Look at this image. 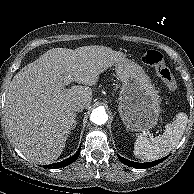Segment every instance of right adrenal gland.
Returning <instances> with one entry per match:
<instances>
[{
	"label": "right adrenal gland",
	"instance_id": "2a0ac1e0",
	"mask_svg": "<svg viewBox=\"0 0 194 194\" xmlns=\"http://www.w3.org/2000/svg\"><path fill=\"white\" fill-rule=\"evenodd\" d=\"M76 124H77V123L75 122V124H74V126H73V128H72V129H75V127H76Z\"/></svg>",
	"mask_w": 194,
	"mask_h": 194
}]
</instances>
